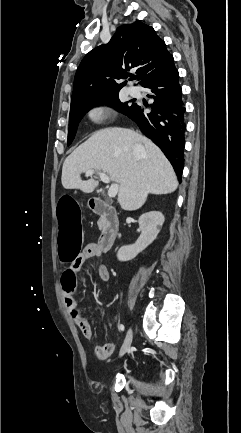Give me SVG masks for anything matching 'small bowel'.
<instances>
[{"mask_svg":"<svg viewBox=\"0 0 241 433\" xmlns=\"http://www.w3.org/2000/svg\"><path fill=\"white\" fill-rule=\"evenodd\" d=\"M102 256V251L99 249L97 243H91L84 247L83 251L79 254V257H77L76 261L71 262L70 267L76 268V275H78V272L83 265V263L89 259L94 257H100ZM97 271L100 276V278L103 281H108L110 278V273L106 265L99 263L97 266ZM77 277V276H76ZM63 281V278H62ZM61 281V284H62ZM62 294H63V300L65 307L72 318L75 325L78 327V329L81 331L82 335L86 339H92L93 337V330L89 322L84 318V316L81 314L78 305L72 296L71 292H65L62 288ZM115 345L113 343H105L100 346L95 347V355L99 360H107L114 352Z\"/></svg>","mask_w":241,"mask_h":433,"instance_id":"obj_1","label":"small bowel"}]
</instances>
